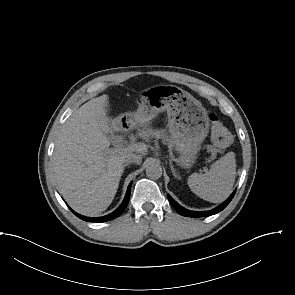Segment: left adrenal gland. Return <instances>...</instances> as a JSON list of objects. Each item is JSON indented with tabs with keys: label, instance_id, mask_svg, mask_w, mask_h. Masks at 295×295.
<instances>
[{
	"label": "left adrenal gland",
	"instance_id": "a2214340",
	"mask_svg": "<svg viewBox=\"0 0 295 295\" xmlns=\"http://www.w3.org/2000/svg\"><path fill=\"white\" fill-rule=\"evenodd\" d=\"M170 168H171V171H172V174H173V176L175 177V178H177V179H181V177L176 173V171H175V169H174V167H173V165H172V161L170 160Z\"/></svg>",
	"mask_w": 295,
	"mask_h": 295
}]
</instances>
